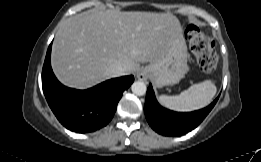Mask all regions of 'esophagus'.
Listing matches in <instances>:
<instances>
[{
    "label": "esophagus",
    "instance_id": "obj_1",
    "mask_svg": "<svg viewBox=\"0 0 261 162\" xmlns=\"http://www.w3.org/2000/svg\"><path fill=\"white\" fill-rule=\"evenodd\" d=\"M136 77L139 79V80H146L147 77H148V73H147V70L146 69H139L137 72H136Z\"/></svg>",
    "mask_w": 261,
    "mask_h": 162
}]
</instances>
